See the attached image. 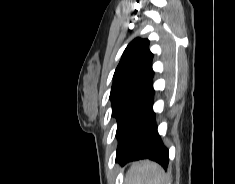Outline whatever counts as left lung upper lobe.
<instances>
[{"mask_svg": "<svg viewBox=\"0 0 235 184\" xmlns=\"http://www.w3.org/2000/svg\"><path fill=\"white\" fill-rule=\"evenodd\" d=\"M152 59L149 40L136 38L126 47L115 70L110 100L112 116L118 124L116 155L126 145L139 116L154 95Z\"/></svg>", "mask_w": 235, "mask_h": 184, "instance_id": "left-lung-upper-lobe-1", "label": "left lung upper lobe"}]
</instances>
